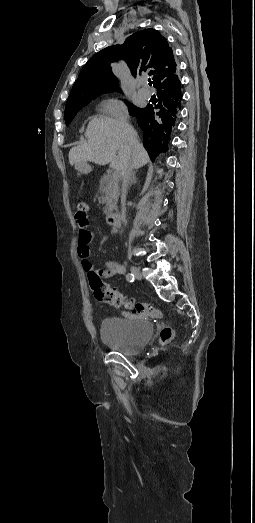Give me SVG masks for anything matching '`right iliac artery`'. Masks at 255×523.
Instances as JSON below:
<instances>
[{"label":"right iliac artery","mask_w":255,"mask_h":523,"mask_svg":"<svg viewBox=\"0 0 255 523\" xmlns=\"http://www.w3.org/2000/svg\"><path fill=\"white\" fill-rule=\"evenodd\" d=\"M134 279H135V277H134L133 274L128 273V274L126 275V280H127V281H129V282H133Z\"/></svg>","instance_id":"82829eb1"}]
</instances>
